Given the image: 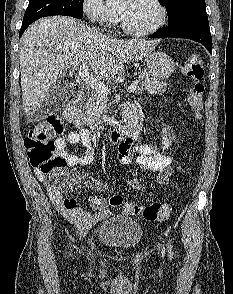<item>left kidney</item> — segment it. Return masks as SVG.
<instances>
[{
  "mask_svg": "<svg viewBox=\"0 0 233 294\" xmlns=\"http://www.w3.org/2000/svg\"><path fill=\"white\" fill-rule=\"evenodd\" d=\"M169 136V137H168ZM170 133H168V128L162 130V143L164 144L163 149H168L171 145Z\"/></svg>",
  "mask_w": 233,
  "mask_h": 294,
  "instance_id": "5707ae66",
  "label": "left kidney"
}]
</instances>
